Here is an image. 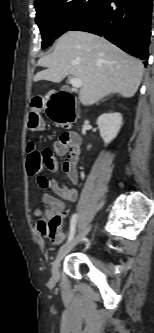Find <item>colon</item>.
Listing matches in <instances>:
<instances>
[{"label": "colon", "instance_id": "colon-1", "mask_svg": "<svg viewBox=\"0 0 154 333\" xmlns=\"http://www.w3.org/2000/svg\"><path fill=\"white\" fill-rule=\"evenodd\" d=\"M44 106L42 98H34L31 102V112L29 114L28 126L33 130H37L41 127L40 111ZM65 125V124H63ZM26 167L29 174H38L42 167V155L35 149L32 143L27 146V160ZM38 227L40 231L48 236L51 240L57 241L60 239L61 234L59 227L61 224V216L56 212H49L46 210L38 211Z\"/></svg>", "mask_w": 154, "mask_h": 333}]
</instances>
